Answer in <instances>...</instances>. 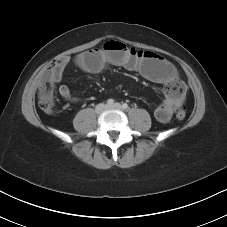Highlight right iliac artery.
Instances as JSON below:
<instances>
[{"mask_svg": "<svg viewBox=\"0 0 227 227\" xmlns=\"http://www.w3.org/2000/svg\"><path fill=\"white\" fill-rule=\"evenodd\" d=\"M107 104L108 105H113L114 104V100L113 99H108L107 100Z\"/></svg>", "mask_w": 227, "mask_h": 227, "instance_id": "obj_1", "label": "right iliac artery"}]
</instances>
